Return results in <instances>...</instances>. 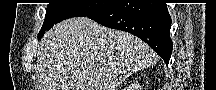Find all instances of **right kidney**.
<instances>
[{
  "label": "right kidney",
  "instance_id": "1",
  "mask_svg": "<svg viewBox=\"0 0 216 90\" xmlns=\"http://www.w3.org/2000/svg\"><path fill=\"white\" fill-rule=\"evenodd\" d=\"M139 88V86H138ZM128 90H133V86H129Z\"/></svg>",
  "mask_w": 216,
  "mask_h": 90
}]
</instances>
